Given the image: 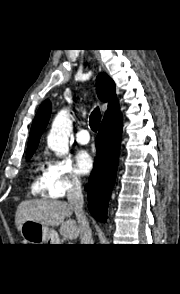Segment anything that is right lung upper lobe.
I'll use <instances>...</instances> for the list:
<instances>
[{
    "label": "right lung upper lobe",
    "mask_w": 180,
    "mask_h": 294,
    "mask_svg": "<svg viewBox=\"0 0 180 294\" xmlns=\"http://www.w3.org/2000/svg\"><path fill=\"white\" fill-rule=\"evenodd\" d=\"M97 94L101 101L108 102V110L112 109L118 105L115 99V84L114 81L106 74L100 73L96 78ZM106 111V112H107ZM51 113V103L46 100L39 108L30 132L28 147H27V157H32L35 152L41 134L43 133Z\"/></svg>",
    "instance_id": "obj_1"
}]
</instances>
